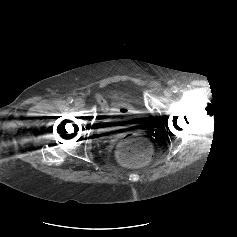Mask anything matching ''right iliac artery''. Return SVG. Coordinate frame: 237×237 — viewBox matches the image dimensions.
<instances>
[{"mask_svg":"<svg viewBox=\"0 0 237 237\" xmlns=\"http://www.w3.org/2000/svg\"><path fill=\"white\" fill-rule=\"evenodd\" d=\"M67 102H68V103H72V102H73V98H72V97H68V98H67Z\"/></svg>","mask_w":237,"mask_h":237,"instance_id":"right-iliac-artery-1","label":"right iliac artery"}]
</instances>
